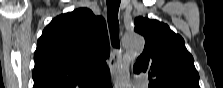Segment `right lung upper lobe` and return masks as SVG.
<instances>
[{
	"label": "right lung upper lobe",
	"mask_w": 223,
	"mask_h": 88,
	"mask_svg": "<svg viewBox=\"0 0 223 88\" xmlns=\"http://www.w3.org/2000/svg\"><path fill=\"white\" fill-rule=\"evenodd\" d=\"M106 23L90 9L54 18L34 54V88H96L110 76Z\"/></svg>",
	"instance_id": "cb5924a9"
}]
</instances>
